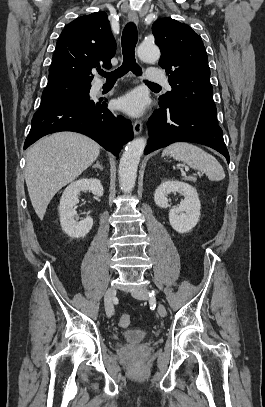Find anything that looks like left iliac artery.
I'll return each mask as SVG.
<instances>
[{
    "mask_svg": "<svg viewBox=\"0 0 265 407\" xmlns=\"http://www.w3.org/2000/svg\"><path fill=\"white\" fill-rule=\"evenodd\" d=\"M150 297L153 295L154 296V291H152L151 293H149Z\"/></svg>",
    "mask_w": 265,
    "mask_h": 407,
    "instance_id": "left-iliac-artery-1",
    "label": "left iliac artery"
}]
</instances>
